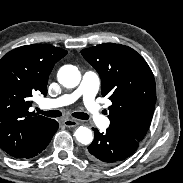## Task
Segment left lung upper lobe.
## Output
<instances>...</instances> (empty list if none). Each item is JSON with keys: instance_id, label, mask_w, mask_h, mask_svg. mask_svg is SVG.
<instances>
[{"instance_id": "left-lung-upper-lobe-1", "label": "left lung upper lobe", "mask_w": 183, "mask_h": 183, "mask_svg": "<svg viewBox=\"0 0 183 183\" xmlns=\"http://www.w3.org/2000/svg\"><path fill=\"white\" fill-rule=\"evenodd\" d=\"M81 53L99 73L103 97L112 101L109 128L142 141L156 103L155 79L146 61L132 48L113 43Z\"/></svg>"}]
</instances>
